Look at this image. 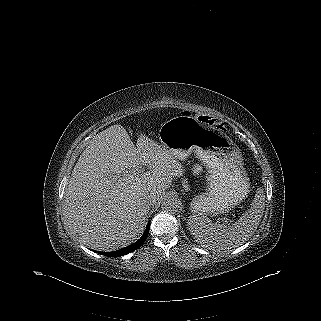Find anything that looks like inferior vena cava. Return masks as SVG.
Returning <instances> with one entry per match:
<instances>
[{"instance_id":"inferior-vena-cava-1","label":"inferior vena cava","mask_w":321,"mask_h":321,"mask_svg":"<svg viewBox=\"0 0 321 321\" xmlns=\"http://www.w3.org/2000/svg\"><path fill=\"white\" fill-rule=\"evenodd\" d=\"M155 202V198L152 195H145L143 197V204H145L146 206H151L153 205Z\"/></svg>"}]
</instances>
